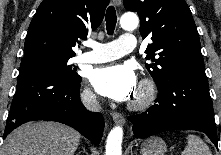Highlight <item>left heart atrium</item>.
I'll return each instance as SVG.
<instances>
[{"mask_svg":"<svg viewBox=\"0 0 221 155\" xmlns=\"http://www.w3.org/2000/svg\"><path fill=\"white\" fill-rule=\"evenodd\" d=\"M90 80L99 94L116 101L129 100L137 92L136 75L126 65L98 68L93 71Z\"/></svg>","mask_w":221,"mask_h":155,"instance_id":"left-heart-atrium-1","label":"left heart atrium"}]
</instances>
